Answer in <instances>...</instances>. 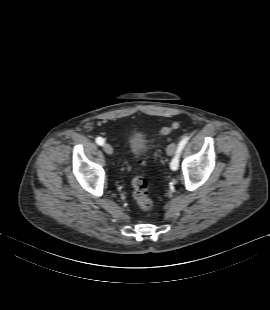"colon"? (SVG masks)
Segmentation results:
<instances>
[{"label":"colon","instance_id":"colon-1","mask_svg":"<svg viewBox=\"0 0 270 310\" xmlns=\"http://www.w3.org/2000/svg\"><path fill=\"white\" fill-rule=\"evenodd\" d=\"M177 127V124L174 123L170 127H164L161 130V134L165 135L171 132ZM133 186V197L136 204L140 209L144 211H149L152 208V200L148 191V181L143 176H136L132 181Z\"/></svg>","mask_w":270,"mask_h":310}]
</instances>
